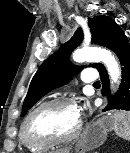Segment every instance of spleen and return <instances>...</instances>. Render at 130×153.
<instances>
[{
	"label": "spleen",
	"mask_w": 130,
	"mask_h": 153,
	"mask_svg": "<svg viewBox=\"0 0 130 153\" xmlns=\"http://www.w3.org/2000/svg\"><path fill=\"white\" fill-rule=\"evenodd\" d=\"M115 125L114 131L115 133L125 139L130 141V112H116L114 114Z\"/></svg>",
	"instance_id": "spleen-1"
}]
</instances>
